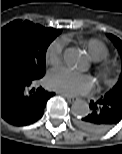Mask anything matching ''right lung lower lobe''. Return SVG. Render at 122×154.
Returning <instances> with one entry per match:
<instances>
[{"mask_svg":"<svg viewBox=\"0 0 122 154\" xmlns=\"http://www.w3.org/2000/svg\"><path fill=\"white\" fill-rule=\"evenodd\" d=\"M38 79L22 74L11 64L1 63V117L15 126H25L43 116L53 93L35 89Z\"/></svg>","mask_w":122,"mask_h":154,"instance_id":"98d812e1","label":"right lung lower lobe"}]
</instances>
